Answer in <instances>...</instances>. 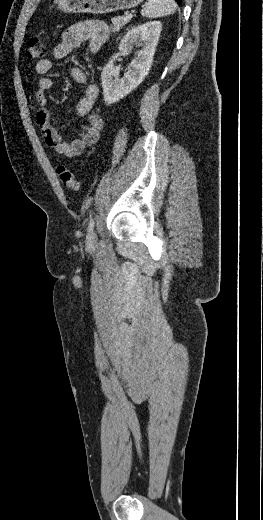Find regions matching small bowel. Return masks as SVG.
<instances>
[{
    "label": "small bowel",
    "mask_w": 263,
    "mask_h": 520,
    "mask_svg": "<svg viewBox=\"0 0 263 520\" xmlns=\"http://www.w3.org/2000/svg\"><path fill=\"white\" fill-rule=\"evenodd\" d=\"M108 26L98 20L80 22L66 29L61 42L53 49L55 59H63L71 55L78 47L86 45L91 52H97L108 38ZM52 62L49 59H41L35 65V72L40 77L35 91V101L38 109L35 114V123L45 144L52 150L66 157H76L84 150L97 142L104 121L101 115L91 113L97 97L98 87L89 83L85 72L79 67L71 68L74 81L84 86L82 97L76 106L79 116H86L88 123L82 127L79 136L71 141H66L50 123L47 92L52 87V80L47 76L51 70Z\"/></svg>",
    "instance_id": "obj_1"
}]
</instances>
